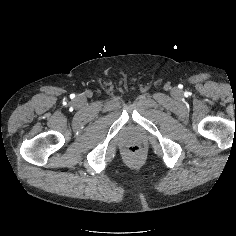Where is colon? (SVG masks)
<instances>
[{
	"instance_id": "5ec220e1",
	"label": "colon",
	"mask_w": 236,
	"mask_h": 236,
	"mask_svg": "<svg viewBox=\"0 0 236 236\" xmlns=\"http://www.w3.org/2000/svg\"><path fill=\"white\" fill-rule=\"evenodd\" d=\"M126 151L131 156H139L141 154V149L138 146H129Z\"/></svg>"
}]
</instances>
